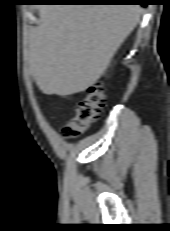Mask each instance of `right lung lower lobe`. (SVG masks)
I'll use <instances>...</instances> for the list:
<instances>
[{
	"mask_svg": "<svg viewBox=\"0 0 170 231\" xmlns=\"http://www.w3.org/2000/svg\"><path fill=\"white\" fill-rule=\"evenodd\" d=\"M145 0H35L43 3H139L146 5Z\"/></svg>",
	"mask_w": 170,
	"mask_h": 231,
	"instance_id": "1",
	"label": "right lung lower lobe"
}]
</instances>
